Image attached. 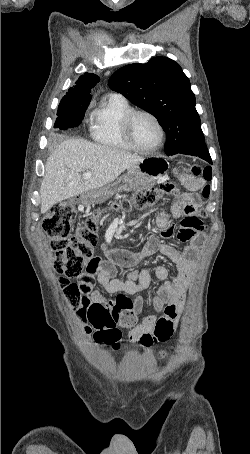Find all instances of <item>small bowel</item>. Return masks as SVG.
Returning a JSON list of instances; mask_svg holds the SVG:
<instances>
[{"instance_id": "1", "label": "small bowel", "mask_w": 250, "mask_h": 454, "mask_svg": "<svg viewBox=\"0 0 250 454\" xmlns=\"http://www.w3.org/2000/svg\"><path fill=\"white\" fill-rule=\"evenodd\" d=\"M188 192L182 194L169 212L157 217V225L161 228L159 236L153 235L146 242L141 252H129L122 249L106 248L107 260L94 257L86 271L79 277L81 290V305L77 315L85 334H90L92 328L88 325L86 311L91 304H103L120 320H132L129 332L131 341L141 342L151 346L171 338L183 311L186 291L190 285L196 266L198 253L205 241L203 223L197 215L199 200L195 192L202 188L203 179L191 175L182 177ZM184 217L178 239L187 245L178 250L171 245L163 244L159 237L168 238L173 234V221ZM160 251L170 258L177 266V275L169 280L168 270L157 266L153 270L144 269L130 273L126 281L114 277L116 266H125ZM162 281L158 289L154 305L163 315L141 317L143 301L140 296L130 300L126 295H136L146 289L151 281V273ZM95 280L101 284L107 293L118 294L117 299L107 300L99 290L95 289Z\"/></svg>"}]
</instances>
